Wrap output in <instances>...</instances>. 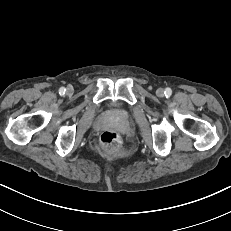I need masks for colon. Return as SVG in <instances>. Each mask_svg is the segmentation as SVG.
Returning a JSON list of instances; mask_svg holds the SVG:
<instances>
[{"instance_id":"obj_1","label":"colon","mask_w":231,"mask_h":231,"mask_svg":"<svg viewBox=\"0 0 231 231\" xmlns=\"http://www.w3.org/2000/svg\"><path fill=\"white\" fill-rule=\"evenodd\" d=\"M100 144L109 149L117 148L120 144V137L114 131H104L100 136Z\"/></svg>"}]
</instances>
